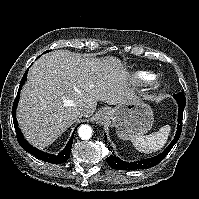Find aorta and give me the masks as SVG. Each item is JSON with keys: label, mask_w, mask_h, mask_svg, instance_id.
Here are the masks:
<instances>
[{"label": "aorta", "mask_w": 199, "mask_h": 199, "mask_svg": "<svg viewBox=\"0 0 199 199\" xmlns=\"http://www.w3.org/2000/svg\"><path fill=\"white\" fill-rule=\"evenodd\" d=\"M79 137L83 140H87L92 136V128L89 125H81L78 129Z\"/></svg>", "instance_id": "762f6f07"}]
</instances>
